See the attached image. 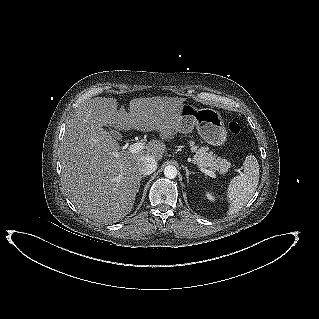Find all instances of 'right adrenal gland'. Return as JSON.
I'll list each match as a JSON object with an SVG mask.
<instances>
[{"mask_svg": "<svg viewBox=\"0 0 319 319\" xmlns=\"http://www.w3.org/2000/svg\"><path fill=\"white\" fill-rule=\"evenodd\" d=\"M145 176H141L140 180L138 181L137 187H136V192H139V188H140V181L144 178Z\"/></svg>", "mask_w": 319, "mask_h": 319, "instance_id": "right-adrenal-gland-1", "label": "right adrenal gland"}]
</instances>
